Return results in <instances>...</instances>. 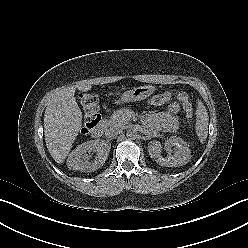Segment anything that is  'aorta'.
Returning a JSON list of instances; mask_svg holds the SVG:
<instances>
[{"label": "aorta", "mask_w": 248, "mask_h": 248, "mask_svg": "<svg viewBox=\"0 0 248 248\" xmlns=\"http://www.w3.org/2000/svg\"><path fill=\"white\" fill-rule=\"evenodd\" d=\"M126 136L129 139H135L137 137V131L135 128H129L126 132Z\"/></svg>", "instance_id": "762f6f07"}]
</instances>
